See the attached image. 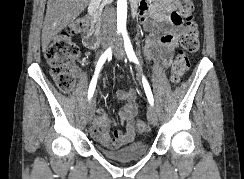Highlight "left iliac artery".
<instances>
[{
	"label": "left iliac artery",
	"mask_w": 244,
	"mask_h": 179,
	"mask_svg": "<svg viewBox=\"0 0 244 179\" xmlns=\"http://www.w3.org/2000/svg\"><path fill=\"white\" fill-rule=\"evenodd\" d=\"M122 35H123V39H124L125 51L127 53V56L129 58V60L133 61L134 63L139 65L138 58L135 55V52H134L133 47L131 45L128 33L126 31H124V32H122ZM142 82H143V87H144L146 96L148 98V101H149L150 105L153 106V104H154L153 95H152L149 83H148V81L146 80V78L144 76L142 77Z\"/></svg>",
	"instance_id": "1"
}]
</instances>
